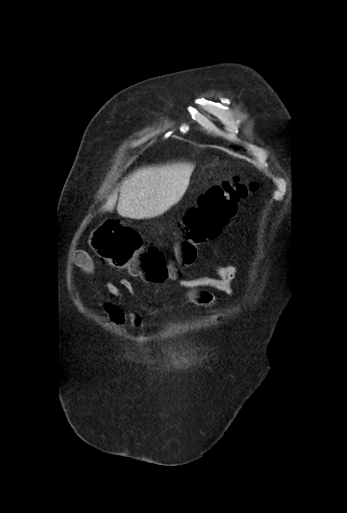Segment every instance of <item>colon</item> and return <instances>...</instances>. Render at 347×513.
<instances>
[{
	"label": "colon",
	"instance_id": "obj_1",
	"mask_svg": "<svg viewBox=\"0 0 347 513\" xmlns=\"http://www.w3.org/2000/svg\"><path fill=\"white\" fill-rule=\"evenodd\" d=\"M256 188L255 183L233 177L201 193L179 224V263H192L201 245L219 237L235 216L238 202ZM92 246L105 262L129 269L151 283H163L181 273L177 263H167L162 251L144 246L134 229L116 220L105 221L94 232Z\"/></svg>",
	"mask_w": 347,
	"mask_h": 513
}]
</instances>
